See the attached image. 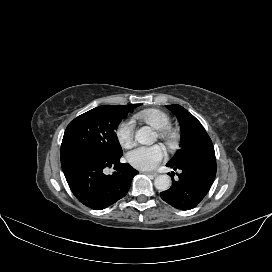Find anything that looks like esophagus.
Returning <instances> with one entry per match:
<instances>
[{
  "mask_svg": "<svg viewBox=\"0 0 272 272\" xmlns=\"http://www.w3.org/2000/svg\"><path fill=\"white\" fill-rule=\"evenodd\" d=\"M144 174H146V175H151V176H153V177L158 176V173H156V172H144Z\"/></svg>",
  "mask_w": 272,
  "mask_h": 272,
  "instance_id": "34e87169",
  "label": "esophagus"
}]
</instances>
